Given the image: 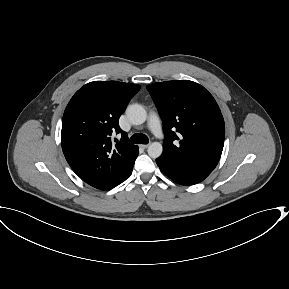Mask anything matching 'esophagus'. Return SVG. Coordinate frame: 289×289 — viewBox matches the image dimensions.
Returning <instances> with one entry per match:
<instances>
[{
    "instance_id": "1",
    "label": "esophagus",
    "mask_w": 289,
    "mask_h": 289,
    "mask_svg": "<svg viewBox=\"0 0 289 289\" xmlns=\"http://www.w3.org/2000/svg\"><path fill=\"white\" fill-rule=\"evenodd\" d=\"M142 148L146 149L149 147V144H143V145H140Z\"/></svg>"
}]
</instances>
